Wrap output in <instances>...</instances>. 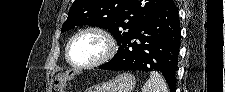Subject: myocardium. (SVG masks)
<instances>
[{
	"label": "myocardium",
	"instance_id": "myocardium-1",
	"mask_svg": "<svg viewBox=\"0 0 225 92\" xmlns=\"http://www.w3.org/2000/svg\"><path fill=\"white\" fill-rule=\"evenodd\" d=\"M86 33H93V34L100 36L105 42L106 50H105V53L100 58H98L97 60H95L93 62L86 63V64H77L74 61H72V59L70 57V48H71L72 43L79 36L86 34ZM116 50H117V47H116L115 39L108 30H106L102 27H98V26H90V27H86V28L79 30L69 39V41L66 45V48H65V57H66L67 63L70 66H72L73 68L87 69V68L96 67V66L106 63L115 55Z\"/></svg>",
	"mask_w": 225,
	"mask_h": 92
}]
</instances>
